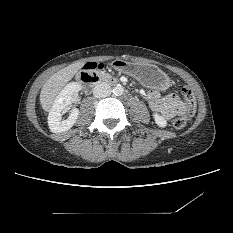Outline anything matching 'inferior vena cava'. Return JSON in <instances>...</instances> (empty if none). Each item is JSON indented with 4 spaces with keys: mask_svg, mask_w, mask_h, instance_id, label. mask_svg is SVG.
I'll list each match as a JSON object with an SVG mask.
<instances>
[{
    "mask_svg": "<svg viewBox=\"0 0 233 233\" xmlns=\"http://www.w3.org/2000/svg\"><path fill=\"white\" fill-rule=\"evenodd\" d=\"M111 87L107 83H99L93 89V95L96 98H104L111 94Z\"/></svg>",
    "mask_w": 233,
    "mask_h": 233,
    "instance_id": "obj_1",
    "label": "inferior vena cava"
}]
</instances>
